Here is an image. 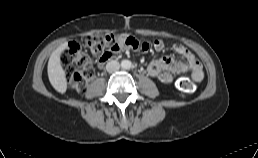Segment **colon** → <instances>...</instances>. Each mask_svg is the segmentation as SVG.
I'll list each match as a JSON object with an SVG mask.
<instances>
[{
    "label": "colon",
    "instance_id": "5ec220e1",
    "mask_svg": "<svg viewBox=\"0 0 258 158\" xmlns=\"http://www.w3.org/2000/svg\"><path fill=\"white\" fill-rule=\"evenodd\" d=\"M138 43L132 36L113 34L90 35L84 39L83 44L71 42L61 54V62L70 87L78 93H84L94 76L86 50L100 60H105L122 49L137 47ZM177 86L185 93H193L197 88L196 81L189 77L181 78Z\"/></svg>",
    "mask_w": 258,
    "mask_h": 158
}]
</instances>
